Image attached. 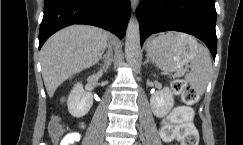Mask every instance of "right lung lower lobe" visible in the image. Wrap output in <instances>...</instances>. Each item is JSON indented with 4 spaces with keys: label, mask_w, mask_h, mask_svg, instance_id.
<instances>
[{
    "label": "right lung lower lobe",
    "mask_w": 243,
    "mask_h": 145,
    "mask_svg": "<svg viewBox=\"0 0 243 145\" xmlns=\"http://www.w3.org/2000/svg\"><path fill=\"white\" fill-rule=\"evenodd\" d=\"M130 8V0H45L39 49L53 33L72 24L95 25L123 38Z\"/></svg>",
    "instance_id": "1"
}]
</instances>
